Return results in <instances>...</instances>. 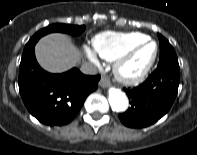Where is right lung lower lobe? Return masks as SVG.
<instances>
[{
    "label": "right lung lower lobe",
    "mask_w": 197,
    "mask_h": 155,
    "mask_svg": "<svg viewBox=\"0 0 197 155\" xmlns=\"http://www.w3.org/2000/svg\"><path fill=\"white\" fill-rule=\"evenodd\" d=\"M100 76L73 68L62 74L44 71L35 58L34 46L23 52L19 68V91L28 111L49 126L68 124L86 97L98 87Z\"/></svg>",
    "instance_id": "right-lung-lower-lobe-1"
}]
</instances>
